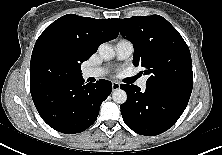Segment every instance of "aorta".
<instances>
[{"label":"aorta","mask_w":222,"mask_h":155,"mask_svg":"<svg viewBox=\"0 0 222 155\" xmlns=\"http://www.w3.org/2000/svg\"><path fill=\"white\" fill-rule=\"evenodd\" d=\"M98 52H99V55L105 59V60H110L112 59L114 56H115V51L114 49L104 43V44H101L98 48ZM112 98H113V101L118 103V104H123L126 102L127 100V94L124 90L122 89H116L113 93H112Z\"/></svg>","instance_id":"762f6f07"}]
</instances>
